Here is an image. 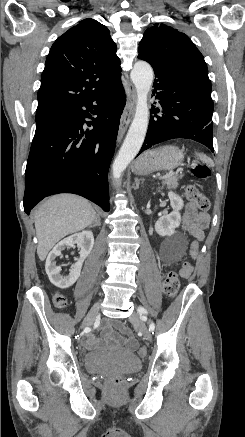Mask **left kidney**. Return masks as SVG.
<instances>
[{
	"mask_svg": "<svg viewBox=\"0 0 245 437\" xmlns=\"http://www.w3.org/2000/svg\"><path fill=\"white\" fill-rule=\"evenodd\" d=\"M170 205L173 211L170 214L160 217L155 223V231L160 236H170L175 233V229L179 227L181 222L180 210L184 206V202L180 196L174 192H169Z\"/></svg>",
	"mask_w": 245,
	"mask_h": 437,
	"instance_id": "left-kidney-1",
	"label": "left kidney"
}]
</instances>
